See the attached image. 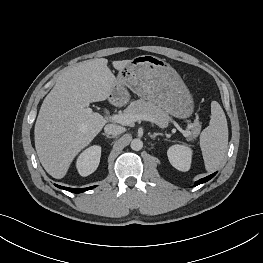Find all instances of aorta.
I'll list each match as a JSON object with an SVG mask.
<instances>
[{
	"mask_svg": "<svg viewBox=\"0 0 263 263\" xmlns=\"http://www.w3.org/2000/svg\"><path fill=\"white\" fill-rule=\"evenodd\" d=\"M131 149L135 151H139L143 147V142L141 139L135 138L131 141Z\"/></svg>",
	"mask_w": 263,
	"mask_h": 263,
	"instance_id": "obj_1",
	"label": "aorta"
}]
</instances>
